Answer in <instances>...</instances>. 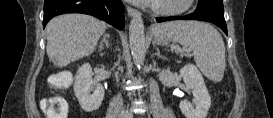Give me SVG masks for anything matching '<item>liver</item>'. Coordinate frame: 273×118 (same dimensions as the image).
<instances>
[{"label": "liver", "instance_id": "6515ba94", "mask_svg": "<svg viewBox=\"0 0 273 118\" xmlns=\"http://www.w3.org/2000/svg\"><path fill=\"white\" fill-rule=\"evenodd\" d=\"M104 22L84 14H64L46 26V51L54 65L64 67L95 50L105 32Z\"/></svg>", "mask_w": 273, "mask_h": 118}]
</instances>
